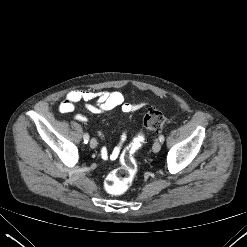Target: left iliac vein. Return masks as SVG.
<instances>
[{"label": "left iliac vein", "instance_id": "left-iliac-vein-1", "mask_svg": "<svg viewBox=\"0 0 247 247\" xmlns=\"http://www.w3.org/2000/svg\"><path fill=\"white\" fill-rule=\"evenodd\" d=\"M160 149H161V143L159 141H156L152 146V150L153 152L157 153L160 151Z\"/></svg>", "mask_w": 247, "mask_h": 247}]
</instances>
